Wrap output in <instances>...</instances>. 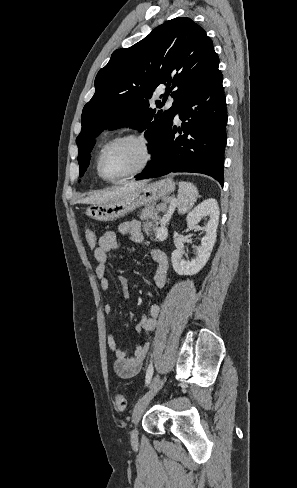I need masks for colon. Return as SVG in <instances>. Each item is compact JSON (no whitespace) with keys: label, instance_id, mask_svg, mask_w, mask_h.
<instances>
[{"label":"colon","instance_id":"1","mask_svg":"<svg viewBox=\"0 0 297 488\" xmlns=\"http://www.w3.org/2000/svg\"><path fill=\"white\" fill-rule=\"evenodd\" d=\"M86 242L91 250H94L98 245L96 234L91 230L85 231ZM115 405L119 410H124L127 406V396L123 392H117L114 397Z\"/></svg>","mask_w":297,"mask_h":488}]
</instances>
